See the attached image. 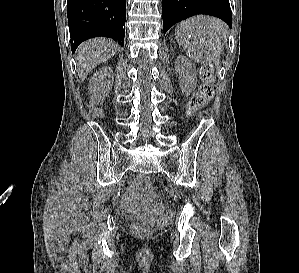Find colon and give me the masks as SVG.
Here are the masks:
<instances>
[{
	"label": "colon",
	"mask_w": 299,
	"mask_h": 273,
	"mask_svg": "<svg viewBox=\"0 0 299 273\" xmlns=\"http://www.w3.org/2000/svg\"><path fill=\"white\" fill-rule=\"evenodd\" d=\"M215 78V70L211 64H206L201 69L202 84L198 91L191 98L188 106V115L194 116L201 108H203L213 97L214 89L212 82ZM142 184L146 189H150L149 181L144 179ZM173 217V213H168L162 218V222L168 221ZM132 231L140 236H146L153 232L151 225L146 223H135L132 226Z\"/></svg>",
	"instance_id": "1"
}]
</instances>
